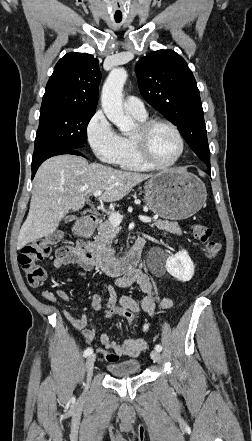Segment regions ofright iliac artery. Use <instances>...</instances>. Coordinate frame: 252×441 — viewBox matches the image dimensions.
I'll use <instances>...</instances> for the list:
<instances>
[{
    "mask_svg": "<svg viewBox=\"0 0 252 441\" xmlns=\"http://www.w3.org/2000/svg\"><path fill=\"white\" fill-rule=\"evenodd\" d=\"M92 353H93V349L92 348H87L84 351V357H87V356L91 355Z\"/></svg>",
    "mask_w": 252,
    "mask_h": 441,
    "instance_id": "82829eb1",
    "label": "right iliac artery"
}]
</instances>
